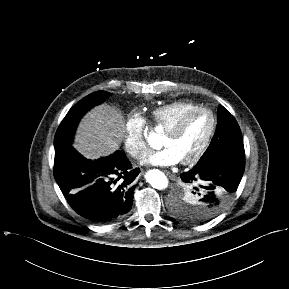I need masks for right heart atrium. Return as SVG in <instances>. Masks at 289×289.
<instances>
[{
	"label": "right heart atrium",
	"instance_id": "1",
	"mask_svg": "<svg viewBox=\"0 0 289 289\" xmlns=\"http://www.w3.org/2000/svg\"><path fill=\"white\" fill-rule=\"evenodd\" d=\"M146 118L138 112H131L124 124V146L135 159H142L149 153L145 138Z\"/></svg>",
	"mask_w": 289,
	"mask_h": 289
}]
</instances>
